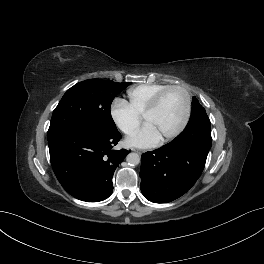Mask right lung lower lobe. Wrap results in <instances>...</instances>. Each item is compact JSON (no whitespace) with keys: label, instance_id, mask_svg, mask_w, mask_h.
Here are the masks:
<instances>
[{"label":"right lung lower lobe","instance_id":"obj_1","mask_svg":"<svg viewBox=\"0 0 264 264\" xmlns=\"http://www.w3.org/2000/svg\"><path fill=\"white\" fill-rule=\"evenodd\" d=\"M120 139L115 129L68 131L48 140L51 165L63 188L82 201L108 198L114 171L130 152L112 149Z\"/></svg>","mask_w":264,"mask_h":264}]
</instances>
